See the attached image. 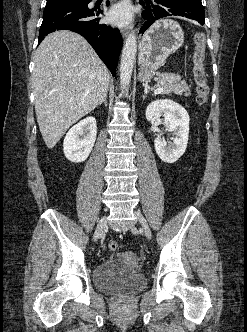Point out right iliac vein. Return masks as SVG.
I'll list each match as a JSON object with an SVG mask.
<instances>
[{
    "mask_svg": "<svg viewBox=\"0 0 247 332\" xmlns=\"http://www.w3.org/2000/svg\"><path fill=\"white\" fill-rule=\"evenodd\" d=\"M107 228V218L106 216L102 217L101 220L99 221L98 225H97V228H96V231H95V234H94V241H97L98 238H100L105 229Z\"/></svg>",
    "mask_w": 247,
    "mask_h": 332,
    "instance_id": "right-iliac-vein-1",
    "label": "right iliac vein"
}]
</instances>
